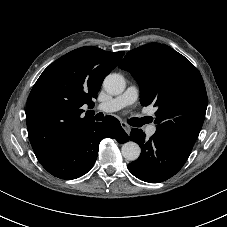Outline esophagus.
<instances>
[{"instance_id":"34e87169","label":"esophagus","mask_w":227,"mask_h":227,"mask_svg":"<svg viewBox=\"0 0 227 227\" xmlns=\"http://www.w3.org/2000/svg\"><path fill=\"white\" fill-rule=\"evenodd\" d=\"M121 126L127 134H130L131 127L126 122L122 121Z\"/></svg>"}]
</instances>
